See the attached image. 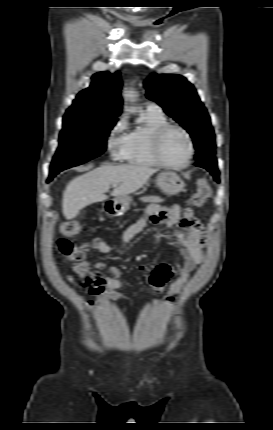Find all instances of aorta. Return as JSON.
<instances>
[{"instance_id":"762f6f07","label":"aorta","mask_w":273,"mask_h":430,"mask_svg":"<svg viewBox=\"0 0 273 430\" xmlns=\"http://www.w3.org/2000/svg\"><path fill=\"white\" fill-rule=\"evenodd\" d=\"M125 97H126V99L128 101H135V99H136V93L134 91H128L125 94ZM131 112H134V111H131Z\"/></svg>"}]
</instances>
